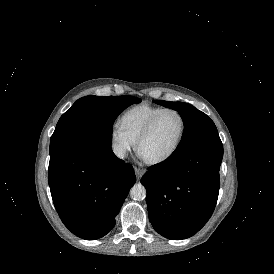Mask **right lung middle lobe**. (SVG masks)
Segmentation results:
<instances>
[{
	"label": "right lung middle lobe",
	"mask_w": 274,
	"mask_h": 274,
	"mask_svg": "<svg viewBox=\"0 0 274 274\" xmlns=\"http://www.w3.org/2000/svg\"><path fill=\"white\" fill-rule=\"evenodd\" d=\"M140 101L134 96H85L78 99L56 125L50 139V156L95 136L111 138V128L118 115Z\"/></svg>",
	"instance_id": "right-lung-middle-lobe-1"
}]
</instances>
